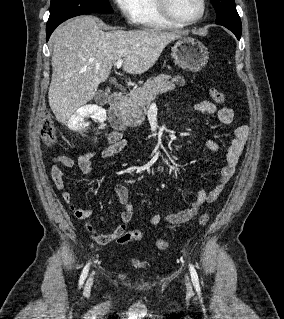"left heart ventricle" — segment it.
I'll return each instance as SVG.
<instances>
[{"mask_svg":"<svg viewBox=\"0 0 284 319\" xmlns=\"http://www.w3.org/2000/svg\"><path fill=\"white\" fill-rule=\"evenodd\" d=\"M174 14L183 20L196 18L201 12L200 0H171Z\"/></svg>","mask_w":284,"mask_h":319,"instance_id":"b2bd125f","label":"left heart ventricle"}]
</instances>
